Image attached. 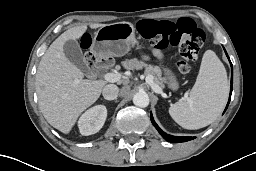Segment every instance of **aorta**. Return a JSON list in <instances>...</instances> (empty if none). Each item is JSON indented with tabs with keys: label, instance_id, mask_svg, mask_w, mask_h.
Masks as SVG:
<instances>
[{
	"label": "aorta",
	"instance_id": "aorta-1",
	"mask_svg": "<svg viewBox=\"0 0 256 171\" xmlns=\"http://www.w3.org/2000/svg\"><path fill=\"white\" fill-rule=\"evenodd\" d=\"M149 96L146 92H138L133 96V103L141 108H145L149 105Z\"/></svg>",
	"mask_w": 256,
	"mask_h": 171
}]
</instances>
